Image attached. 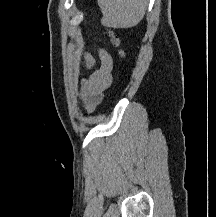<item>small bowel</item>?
Returning <instances> with one entry per match:
<instances>
[{
  "mask_svg": "<svg viewBox=\"0 0 216 217\" xmlns=\"http://www.w3.org/2000/svg\"><path fill=\"white\" fill-rule=\"evenodd\" d=\"M99 67L81 80L79 94L87 112H92L103 100L105 91L112 81L113 61L104 49L98 50ZM85 69L94 67L96 60L92 54L85 52L82 60Z\"/></svg>",
  "mask_w": 216,
  "mask_h": 217,
  "instance_id": "c3829d8e",
  "label": "small bowel"
}]
</instances>
